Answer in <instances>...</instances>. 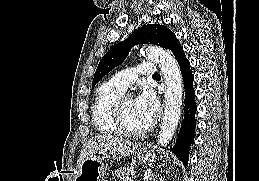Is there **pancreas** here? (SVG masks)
Wrapping results in <instances>:
<instances>
[{
  "label": "pancreas",
  "mask_w": 259,
  "mask_h": 181,
  "mask_svg": "<svg viewBox=\"0 0 259 181\" xmlns=\"http://www.w3.org/2000/svg\"><path fill=\"white\" fill-rule=\"evenodd\" d=\"M133 172V167H121L114 172H112V175L116 178L123 179L126 177H129V175Z\"/></svg>",
  "instance_id": "obj_1"
}]
</instances>
